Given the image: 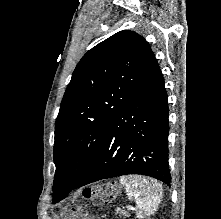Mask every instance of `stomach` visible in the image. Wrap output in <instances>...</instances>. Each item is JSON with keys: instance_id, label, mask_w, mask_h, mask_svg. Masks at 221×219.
<instances>
[{"instance_id": "obj_1", "label": "stomach", "mask_w": 221, "mask_h": 219, "mask_svg": "<svg viewBox=\"0 0 221 219\" xmlns=\"http://www.w3.org/2000/svg\"><path fill=\"white\" fill-rule=\"evenodd\" d=\"M114 189L116 190L115 192H120V188L117 185H115Z\"/></svg>"}]
</instances>
